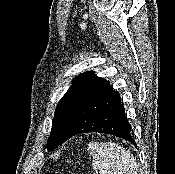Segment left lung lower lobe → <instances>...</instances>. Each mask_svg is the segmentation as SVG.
Listing matches in <instances>:
<instances>
[{
    "label": "left lung lower lobe",
    "instance_id": "obj_1",
    "mask_svg": "<svg viewBox=\"0 0 175 174\" xmlns=\"http://www.w3.org/2000/svg\"><path fill=\"white\" fill-rule=\"evenodd\" d=\"M130 131L120 94L105 80L76 105L66 126L63 143L77 134L99 132L115 135L137 146Z\"/></svg>",
    "mask_w": 175,
    "mask_h": 174
}]
</instances>
